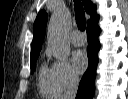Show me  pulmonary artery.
I'll return each instance as SVG.
<instances>
[{"label": "pulmonary artery", "instance_id": "obj_1", "mask_svg": "<svg viewBox=\"0 0 128 99\" xmlns=\"http://www.w3.org/2000/svg\"><path fill=\"white\" fill-rule=\"evenodd\" d=\"M71 42L75 46H81L85 43V37L81 32L75 30L71 33Z\"/></svg>", "mask_w": 128, "mask_h": 99}]
</instances>
